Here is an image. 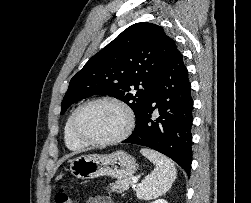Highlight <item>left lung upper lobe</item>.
<instances>
[{
	"mask_svg": "<svg viewBox=\"0 0 251 203\" xmlns=\"http://www.w3.org/2000/svg\"><path fill=\"white\" fill-rule=\"evenodd\" d=\"M174 44L161 26L146 22L131 25L71 79L61 114L81 99L109 95L128 104L137 121Z\"/></svg>",
	"mask_w": 251,
	"mask_h": 203,
	"instance_id": "left-lung-upper-lobe-1",
	"label": "left lung upper lobe"
}]
</instances>
